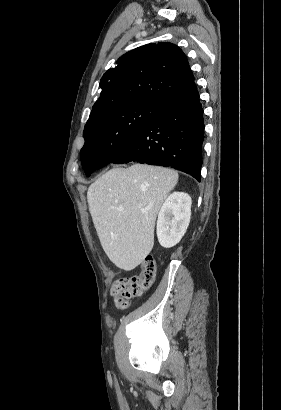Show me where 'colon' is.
Listing matches in <instances>:
<instances>
[{"label": "colon", "instance_id": "obj_1", "mask_svg": "<svg viewBox=\"0 0 281 410\" xmlns=\"http://www.w3.org/2000/svg\"><path fill=\"white\" fill-rule=\"evenodd\" d=\"M156 276V263L152 256H147L138 275L121 277L112 286L111 293L118 308L125 309L128 301L138 298L149 289Z\"/></svg>", "mask_w": 281, "mask_h": 410}]
</instances>
